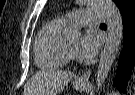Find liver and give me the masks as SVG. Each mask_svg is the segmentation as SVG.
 I'll list each match as a JSON object with an SVG mask.
<instances>
[{
    "instance_id": "1",
    "label": "liver",
    "mask_w": 135,
    "mask_h": 95,
    "mask_svg": "<svg viewBox=\"0 0 135 95\" xmlns=\"http://www.w3.org/2000/svg\"><path fill=\"white\" fill-rule=\"evenodd\" d=\"M74 77L73 72L46 70L36 73L25 85V95H56Z\"/></svg>"
}]
</instances>
